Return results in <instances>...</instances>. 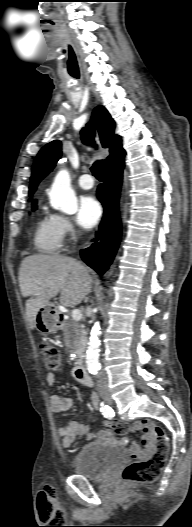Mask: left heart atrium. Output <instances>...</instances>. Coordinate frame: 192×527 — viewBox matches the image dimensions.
<instances>
[{"label": "left heart atrium", "instance_id": "1", "mask_svg": "<svg viewBox=\"0 0 192 527\" xmlns=\"http://www.w3.org/2000/svg\"><path fill=\"white\" fill-rule=\"evenodd\" d=\"M102 208L93 196H85L79 202L77 213L78 223L86 229L94 227L100 220Z\"/></svg>", "mask_w": 192, "mask_h": 527}]
</instances>
